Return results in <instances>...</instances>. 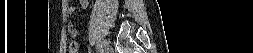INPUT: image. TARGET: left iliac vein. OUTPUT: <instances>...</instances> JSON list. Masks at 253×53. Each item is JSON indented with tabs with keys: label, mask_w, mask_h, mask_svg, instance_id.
Wrapping results in <instances>:
<instances>
[{
	"label": "left iliac vein",
	"mask_w": 253,
	"mask_h": 53,
	"mask_svg": "<svg viewBox=\"0 0 253 53\" xmlns=\"http://www.w3.org/2000/svg\"><path fill=\"white\" fill-rule=\"evenodd\" d=\"M103 48H104L103 53H105L107 49L109 48V42L107 40L103 41Z\"/></svg>",
	"instance_id": "1"
}]
</instances>
